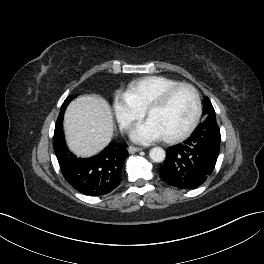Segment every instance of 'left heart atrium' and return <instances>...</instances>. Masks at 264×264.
<instances>
[{"mask_svg": "<svg viewBox=\"0 0 264 264\" xmlns=\"http://www.w3.org/2000/svg\"><path fill=\"white\" fill-rule=\"evenodd\" d=\"M131 138L139 143H149L163 138L159 128L149 119L139 123L131 132Z\"/></svg>", "mask_w": 264, "mask_h": 264, "instance_id": "left-heart-atrium-1", "label": "left heart atrium"}]
</instances>
